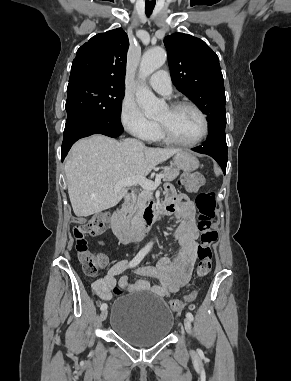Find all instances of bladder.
Masks as SVG:
<instances>
[{
  "label": "bladder",
  "mask_w": 291,
  "mask_h": 381,
  "mask_svg": "<svg viewBox=\"0 0 291 381\" xmlns=\"http://www.w3.org/2000/svg\"><path fill=\"white\" fill-rule=\"evenodd\" d=\"M174 323V315L162 298L130 292L111 306L110 328L128 343L145 348L165 339Z\"/></svg>",
  "instance_id": "1"
}]
</instances>
